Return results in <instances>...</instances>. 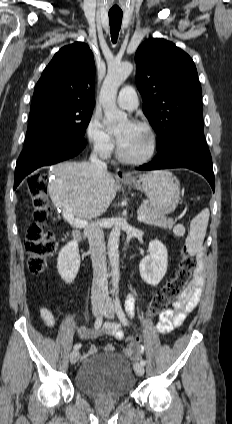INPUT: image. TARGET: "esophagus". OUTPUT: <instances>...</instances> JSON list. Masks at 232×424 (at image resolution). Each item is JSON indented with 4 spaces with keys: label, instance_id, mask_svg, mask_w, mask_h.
Returning <instances> with one entry per match:
<instances>
[{
    "label": "esophagus",
    "instance_id": "esophagus-1",
    "mask_svg": "<svg viewBox=\"0 0 232 424\" xmlns=\"http://www.w3.org/2000/svg\"><path fill=\"white\" fill-rule=\"evenodd\" d=\"M116 178L117 179H128V178H130V175L127 174V173H125L123 171V169L117 168V170H116Z\"/></svg>",
    "mask_w": 232,
    "mask_h": 424
}]
</instances>
